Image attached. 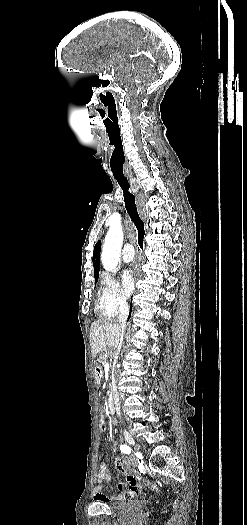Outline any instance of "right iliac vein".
<instances>
[{"label": "right iliac vein", "mask_w": 247, "mask_h": 525, "mask_svg": "<svg viewBox=\"0 0 247 525\" xmlns=\"http://www.w3.org/2000/svg\"><path fill=\"white\" fill-rule=\"evenodd\" d=\"M123 434H124V437H125V440L132 446L135 445V441L134 439L132 438V436L129 434V432H127L126 430L123 431Z\"/></svg>", "instance_id": "obj_1"}]
</instances>
